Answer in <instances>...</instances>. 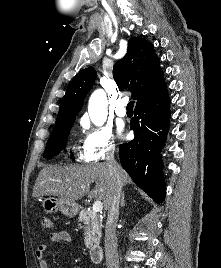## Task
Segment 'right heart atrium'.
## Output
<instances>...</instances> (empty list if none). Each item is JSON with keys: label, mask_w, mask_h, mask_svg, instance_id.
Wrapping results in <instances>:
<instances>
[{"label": "right heart atrium", "mask_w": 221, "mask_h": 268, "mask_svg": "<svg viewBox=\"0 0 221 268\" xmlns=\"http://www.w3.org/2000/svg\"><path fill=\"white\" fill-rule=\"evenodd\" d=\"M81 124L86 131L83 148L90 161L103 160L114 152L115 142L109 126H93L87 119H83Z\"/></svg>", "instance_id": "obj_1"}]
</instances>
